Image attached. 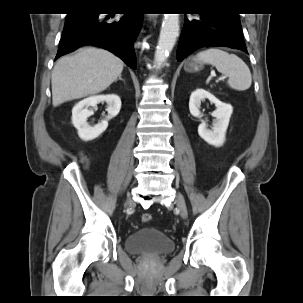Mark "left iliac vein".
<instances>
[{
    "label": "left iliac vein",
    "mask_w": 303,
    "mask_h": 303,
    "mask_svg": "<svg viewBox=\"0 0 303 303\" xmlns=\"http://www.w3.org/2000/svg\"><path fill=\"white\" fill-rule=\"evenodd\" d=\"M175 204L180 212V215L182 218L186 219L187 218V208L185 204V200L182 194L178 193L175 198Z\"/></svg>",
    "instance_id": "4c4485c4"
}]
</instances>
